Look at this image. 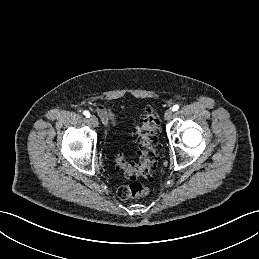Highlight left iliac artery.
<instances>
[{"label": "left iliac artery", "mask_w": 259, "mask_h": 259, "mask_svg": "<svg viewBox=\"0 0 259 259\" xmlns=\"http://www.w3.org/2000/svg\"><path fill=\"white\" fill-rule=\"evenodd\" d=\"M179 109V105H174L173 108H172V111H177Z\"/></svg>", "instance_id": "1"}]
</instances>
